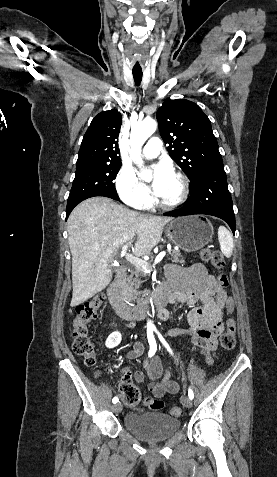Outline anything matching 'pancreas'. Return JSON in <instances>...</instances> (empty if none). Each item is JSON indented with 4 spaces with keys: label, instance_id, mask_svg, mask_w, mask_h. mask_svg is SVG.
Returning a JSON list of instances; mask_svg holds the SVG:
<instances>
[{
    "label": "pancreas",
    "instance_id": "obj_1",
    "mask_svg": "<svg viewBox=\"0 0 277 477\" xmlns=\"http://www.w3.org/2000/svg\"><path fill=\"white\" fill-rule=\"evenodd\" d=\"M171 255V260L176 263H184L185 258L181 256L179 251L172 250L169 251ZM147 273L140 268H136L134 271L131 272V276L127 279V284L125 287V299L128 302H134L135 300L139 301L142 299L144 294L143 291H140L139 288L143 281L141 277H145Z\"/></svg>",
    "mask_w": 277,
    "mask_h": 477
}]
</instances>
